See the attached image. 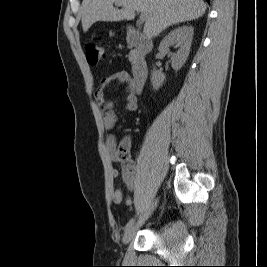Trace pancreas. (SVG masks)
I'll use <instances>...</instances> for the list:
<instances>
[{"label":"pancreas","mask_w":267,"mask_h":267,"mask_svg":"<svg viewBox=\"0 0 267 267\" xmlns=\"http://www.w3.org/2000/svg\"><path fill=\"white\" fill-rule=\"evenodd\" d=\"M134 57H135V54H134V52L132 51V52L130 53V55H129V59H130V61H133V60H134Z\"/></svg>","instance_id":"pancreas-1"}]
</instances>
